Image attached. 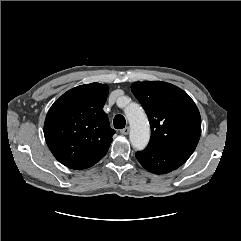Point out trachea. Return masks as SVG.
I'll list each match as a JSON object with an SVG mask.
<instances>
[{
  "label": "trachea",
  "mask_w": 241,
  "mask_h": 241,
  "mask_svg": "<svg viewBox=\"0 0 241 241\" xmlns=\"http://www.w3.org/2000/svg\"><path fill=\"white\" fill-rule=\"evenodd\" d=\"M114 127L116 129H122L125 127L126 120L123 115H116L113 120Z\"/></svg>",
  "instance_id": "trachea-1"
}]
</instances>
